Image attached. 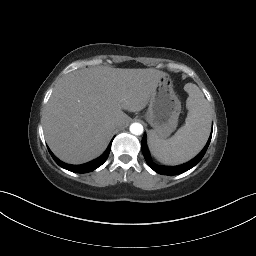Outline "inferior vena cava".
I'll return each mask as SVG.
<instances>
[{
    "label": "inferior vena cava",
    "mask_w": 256,
    "mask_h": 256,
    "mask_svg": "<svg viewBox=\"0 0 256 256\" xmlns=\"http://www.w3.org/2000/svg\"><path fill=\"white\" fill-rule=\"evenodd\" d=\"M111 126H112L113 128H118V127L120 126V121H119L118 119H113V120L111 121Z\"/></svg>",
    "instance_id": "obj_1"
}]
</instances>
